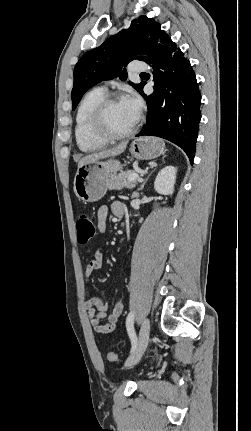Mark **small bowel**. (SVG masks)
Segmentation results:
<instances>
[{"label": "small bowel", "instance_id": "obj_1", "mask_svg": "<svg viewBox=\"0 0 251 431\" xmlns=\"http://www.w3.org/2000/svg\"><path fill=\"white\" fill-rule=\"evenodd\" d=\"M108 211L107 206H102L98 210V229L102 233L106 230ZM110 211L113 215L121 217L124 214V206L120 202H113L110 205ZM103 255L104 249L102 247L95 249L93 259L89 261L85 268L84 277L86 282L94 271L102 267ZM83 305L91 326L99 334H110L114 331L124 308L123 302L117 301L112 311L108 313L109 303L91 296L88 287H85L84 290Z\"/></svg>", "mask_w": 251, "mask_h": 431}]
</instances>
